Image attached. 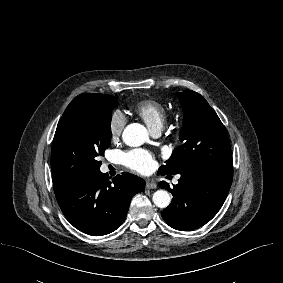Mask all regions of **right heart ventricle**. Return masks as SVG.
Instances as JSON below:
<instances>
[{"mask_svg":"<svg viewBox=\"0 0 283 283\" xmlns=\"http://www.w3.org/2000/svg\"><path fill=\"white\" fill-rule=\"evenodd\" d=\"M134 112L154 131L163 127L167 109L165 104L157 99H145L137 103Z\"/></svg>","mask_w":283,"mask_h":283,"instance_id":"e07e8e85","label":"right heart ventricle"}]
</instances>
